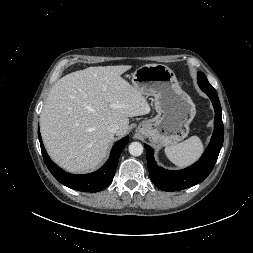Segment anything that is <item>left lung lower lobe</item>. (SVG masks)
Wrapping results in <instances>:
<instances>
[{
	"mask_svg": "<svg viewBox=\"0 0 253 253\" xmlns=\"http://www.w3.org/2000/svg\"><path fill=\"white\" fill-rule=\"evenodd\" d=\"M201 89L213 103L215 121L210 144L199 161L183 170H166L157 166L153 157V149L145 144L150 179L155 186L163 191H178L202 182L212 171L223 145L224 130L218 95L213 87H201Z\"/></svg>",
	"mask_w": 253,
	"mask_h": 253,
	"instance_id": "1",
	"label": "left lung lower lobe"
}]
</instances>
